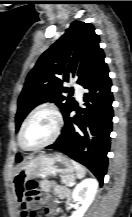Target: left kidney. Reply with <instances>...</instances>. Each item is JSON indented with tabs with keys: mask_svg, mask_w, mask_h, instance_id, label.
<instances>
[{
	"mask_svg": "<svg viewBox=\"0 0 132 217\" xmlns=\"http://www.w3.org/2000/svg\"><path fill=\"white\" fill-rule=\"evenodd\" d=\"M98 182L94 178H87L80 182L73 190V199L81 204V207L72 213L70 217H83L97 193Z\"/></svg>",
	"mask_w": 132,
	"mask_h": 217,
	"instance_id": "5707ae66",
	"label": "left kidney"
}]
</instances>
